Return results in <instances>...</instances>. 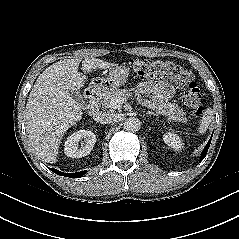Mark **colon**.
<instances>
[{"instance_id": "obj_1", "label": "colon", "mask_w": 239, "mask_h": 239, "mask_svg": "<svg viewBox=\"0 0 239 239\" xmlns=\"http://www.w3.org/2000/svg\"><path fill=\"white\" fill-rule=\"evenodd\" d=\"M135 73L142 79L165 78L181 89L185 106L195 116L204 111L202 96L193 74L180 64L169 60H139L134 64Z\"/></svg>"}]
</instances>
